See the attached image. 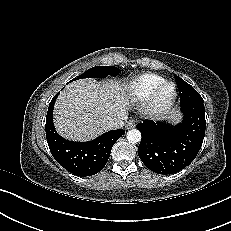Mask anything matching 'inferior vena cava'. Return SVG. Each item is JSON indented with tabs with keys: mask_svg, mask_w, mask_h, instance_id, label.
Here are the masks:
<instances>
[{
	"mask_svg": "<svg viewBox=\"0 0 231 231\" xmlns=\"http://www.w3.org/2000/svg\"><path fill=\"white\" fill-rule=\"evenodd\" d=\"M127 119H128V115L126 113H122L115 118H110L107 121V129L111 130V129L122 128L125 122L127 121Z\"/></svg>",
	"mask_w": 231,
	"mask_h": 231,
	"instance_id": "inferior-vena-cava-1",
	"label": "inferior vena cava"
}]
</instances>
